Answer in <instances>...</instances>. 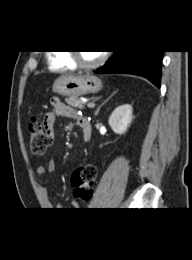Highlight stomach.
<instances>
[{"instance_id":"stomach-1","label":"stomach","mask_w":192,"mask_h":260,"mask_svg":"<svg viewBox=\"0 0 192 260\" xmlns=\"http://www.w3.org/2000/svg\"><path fill=\"white\" fill-rule=\"evenodd\" d=\"M102 87L101 79L91 74L64 75L57 78L53 83V91L55 93L72 98L98 93Z\"/></svg>"}]
</instances>
